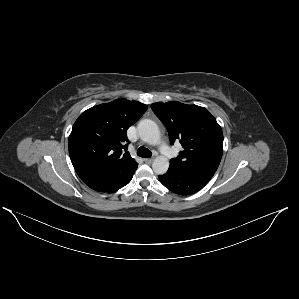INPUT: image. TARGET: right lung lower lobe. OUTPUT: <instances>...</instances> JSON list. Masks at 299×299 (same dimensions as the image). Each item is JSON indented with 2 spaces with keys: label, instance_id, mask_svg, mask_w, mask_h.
Returning <instances> with one entry per match:
<instances>
[{
  "label": "right lung lower lobe",
  "instance_id": "right-lung-lower-lobe-1",
  "mask_svg": "<svg viewBox=\"0 0 299 299\" xmlns=\"http://www.w3.org/2000/svg\"><path fill=\"white\" fill-rule=\"evenodd\" d=\"M136 169L137 167L122 174H113L106 178L86 183V185L99 192H114L131 181Z\"/></svg>",
  "mask_w": 299,
  "mask_h": 299
}]
</instances>
